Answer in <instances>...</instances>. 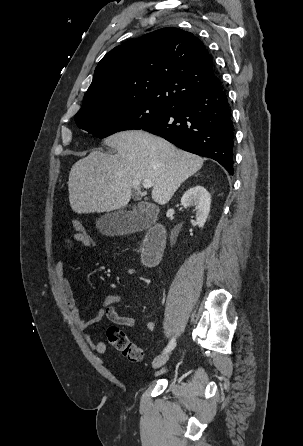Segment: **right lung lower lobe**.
Masks as SVG:
<instances>
[{
	"label": "right lung lower lobe",
	"instance_id": "1",
	"mask_svg": "<svg viewBox=\"0 0 303 446\" xmlns=\"http://www.w3.org/2000/svg\"><path fill=\"white\" fill-rule=\"evenodd\" d=\"M142 129L185 151L216 160L233 175V122L221 82L186 95Z\"/></svg>",
	"mask_w": 303,
	"mask_h": 446
}]
</instances>
